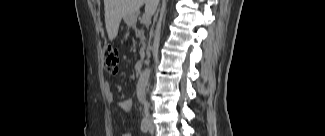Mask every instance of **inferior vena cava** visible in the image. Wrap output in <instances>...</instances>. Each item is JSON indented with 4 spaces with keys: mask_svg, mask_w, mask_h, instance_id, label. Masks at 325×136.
<instances>
[{
    "mask_svg": "<svg viewBox=\"0 0 325 136\" xmlns=\"http://www.w3.org/2000/svg\"><path fill=\"white\" fill-rule=\"evenodd\" d=\"M154 2H155V3H154L155 6H157L159 1H158V0H155ZM156 16H157V14H156Z\"/></svg>",
    "mask_w": 325,
    "mask_h": 136,
    "instance_id": "602c4592",
    "label": "inferior vena cava"
}]
</instances>
